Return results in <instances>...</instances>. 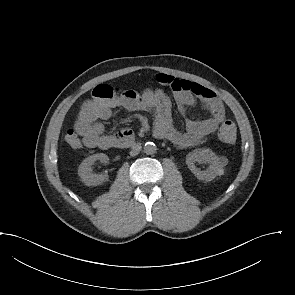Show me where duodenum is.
<instances>
[{
	"label": "duodenum",
	"mask_w": 295,
	"mask_h": 295,
	"mask_svg": "<svg viewBox=\"0 0 295 295\" xmlns=\"http://www.w3.org/2000/svg\"><path fill=\"white\" fill-rule=\"evenodd\" d=\"M139 144V141L131 134H123L115 140L114 147L125 148Z\"/></svg>",
	"instance_id": "410a0bca"
}]
</instances>
